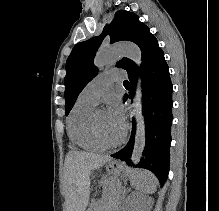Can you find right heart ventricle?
<instances>
[{"label":"right heart ventricle","mask_w":219,"mask_h":211,"mask_svg":"<svg viewBox=\"0 0 219 211\" xmlns=\"http://www.w3.org/2000/svg\"><path fill=\"white\" fill-rule=\"evenodd\" d=\"M95 106L96 104L78 98L67 119L70 140L89 151L106 148V145L97 139L91 127V113Z\"/></svg>","instance_id":"obj_1"}]
</instances>
